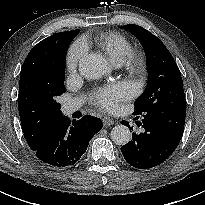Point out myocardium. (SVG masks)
I'll use <instances>...</instances> for the list:
<instances>
[{"label":"myocardium","instance_id":"1","mask_svg":"<svg viewBox=\"0 0 205 205\" xmlns=\"http://www.w3.org/2000/svg\"><path fill=\"white\" fill-rule=\"evenodd\" d=\"M124 68L131 74L140 76L144 73L146 63L141 53L131 52L123 62Z\"/></svg>","mask_w":205,"mask_h":205}]
</instances>
